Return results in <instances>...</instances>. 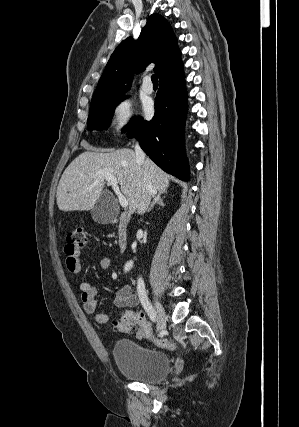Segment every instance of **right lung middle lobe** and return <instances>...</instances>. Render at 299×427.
<instances>
[{"instance_id": "1", "label": "right lung middle lobe", "mask_w": 299, "mask_h": 427, "mask_svg": "<svg viewBox=\"0 0 299 427\" xmlns=\"http://www.w3.org/2000/svg\"><path fill=\"white\" fill-rule=\"evenodd\" d=\"M125 97L126 96L123 94H119L92 101L87 121L88 129L90 131L106 130L109 127L116 106L125 99ZM139 121V118L133 119L129 124H127L123 131H131L137 126Z\"/></svg>"}]
</instances>
